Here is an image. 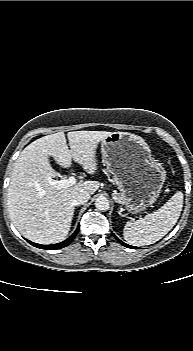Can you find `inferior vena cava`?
I'll return each mask as SVG.
<instances>
[{
    "label": "inferior vena cava",
    "instance_id": "602c4592",
    "mask_svg": "<svg viewBox=\"0 0 193 351\" xmlns=\"http://www.w3.org/2000/svg\"><path fill=\"white\" fill-rule=\"evenodd\" d=\"M90 199V194L86 191L78 193L75 197V205H83Z\"/></svg>",
    "mask_w": 193,
    "mask_h": 351
}]
</instances>
